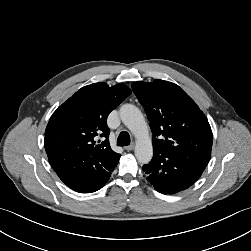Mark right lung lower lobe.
Listing matches in <instances>:
<instances>
[{
    "instance_id": "obj_1",
    "label": "right lung lower lobe",
    "mask_w": 251,
    "mask_h": 251,
    "mask_svg": "<svg viewBox=\"0 0 251 251\" xmlns=\"http://www.w3.org/2000/svg\"><path fill=\"white\" fill-rule=\"evenodd\" d=\"M48 160L59 178L72 190L91 193L104 186L114 168H104L97 157L81 156L64 149L48 155Z\"/></svg>"
}]
</instances>
